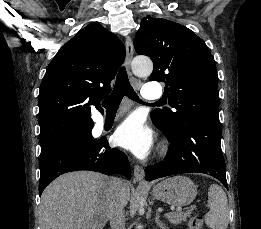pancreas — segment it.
Listing matches in <instances>:
<instances>
[{"label": "pancreas", "mask_w": 261, "mask_h": 229, "mask_svg": "<svg viewBox=\"0 0 261 229\" xmlns=\"http://www.w3.org/2000/svg\"><path fill=\"white\" fill-rule=\"evenodd\" d=\"M193 211V209H191ZM191 211H185V213H170L171 217H167L169 223L172 225H179L182 221H187L191 217Z\"/></svg>", "instance_id": "pancreas-1"}]
</instances>
